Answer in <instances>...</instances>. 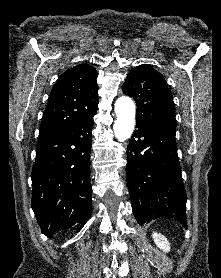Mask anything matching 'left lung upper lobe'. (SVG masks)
I'll use <instances>...</instances> for the list:
<instances>
[{
    "label": "left lung upper lobe",
    "instance_id": "5c2ea615",
    "mask_svg": "<svg viewBox=\"0 0 221 278\" xmlns=\"http://www.w3.org/2000/svg\"><path fill=\"white\" fill-rule=\"evenodd\" d=\"M122 90L137 104L136 122L176 125L173 97L164 77L150 65L133 68Z\"/></svg>",
    "mask_w": 221,
    "mask_h": 278
}]
</instances>
